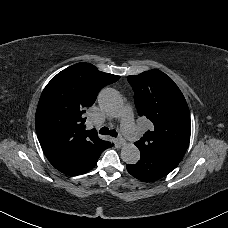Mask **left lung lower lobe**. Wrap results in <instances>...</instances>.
I'll list each match as a JSON object with an SVG mask.
<instances>
[{
    "label": "left lung lower lobe",
    "instance_id": "obj_1",
    "mask_svg": "<svg viewBox=\"0 0 228 228\" xmlns=\"http://www.w3.org/2000/svg\"><path fill=\"white\" fill-rule=\"evenodd\" d=\"M179 162L170 156L140 149V160L136 164H128L126 168L135 178L151 182L169 174Z\"/></svg>",
    "mask_w": 228,
    "mask_h": 228
}]
</instances>
